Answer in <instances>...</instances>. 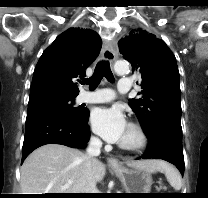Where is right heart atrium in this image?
Returning <instances> with one entry per match:
<instances>
[{
	"instance_id": "right-heart-atrium-1",
	"label": "right heart atrium",
	"mask_w": 208,
	"mask_h": 198,
	"mask_svg": "<svg viewBox=\"0 0 208 198\" xmlns=\"http://www.w3.org/2000/svg\"><path fill=\"white\" fill-rule=\"evenodd\" d=\"M93 140H94L95 142H98V139H97L96 137H93Z\"/></svg>"
}]
</instances>
